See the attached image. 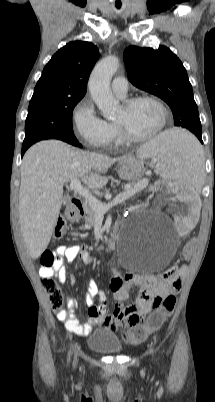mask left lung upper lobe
<instances>
[{
	"mask_svg": "<svg viewBox=\"0 0 215 402\" xmlns=\"http://www.w3.org/2000/svg\"><path fill=\"white\" fill-rule=\"evenodd\" d=\"M130 82L164 100L172 109L174 125L202 136L197 105L186 69L167 47L158 49L130 46L124 51Z\"/></svg>",
	"mask_w": 215,
	"mask_h": 402,
	"instance_id": "5c2ea615",
	"label": "left lung upper lobe"
}]
</instances>
